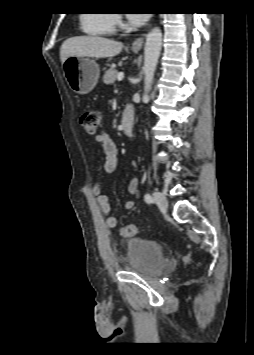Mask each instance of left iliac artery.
I'll list each match as a JSON object with an SVG mask.
<instances>
[{"instance_id":"left-iliac-artery-1","label":"left iliac artery","mask_w":254,"mask_h":355,"mask_svg":"<svg viewBox=\"0 0 254 355\" xmlns=\"http://www.w3.org/2000/svg\"><path fill=\"white\" fill-rule=\"evenodd\" d=\"M144 198H145V201H146L148 204L152 203V201H153L150 194H146V195L144 196Z\"/></svg>"}]
</instances>
